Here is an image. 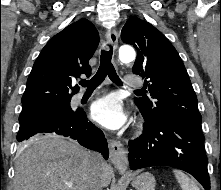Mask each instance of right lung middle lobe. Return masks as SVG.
<instances>
[{
  "instance_id": "dd1d6c3e",
  "label": "right lung middle lobe",
  "mask_w": 221,
  "mask_h": 190,
  "mask_svg": "<svg viewBox=\"0 0 221 190\" xmlns=\"http://www.w3.org/2000/svg\"><path fill=\"white\" fill-rule=\"evenodd\" d=\"M70 101L71 99L58 100L23 108L19 116V130L50 117H65L73 114Z\"/></svg>"
}]
</instances>
